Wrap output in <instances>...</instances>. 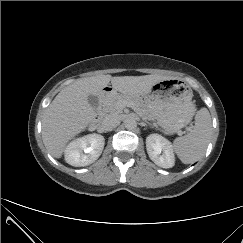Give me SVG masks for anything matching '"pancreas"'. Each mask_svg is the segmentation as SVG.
Here are the masks:
<instances>
[{"instance_id": "pancreas-1", "label": "pancreas", "mask_w": 243, "mask_h": 243, "mask_svg": "<svg viewBox=\"0 0 243 243\" xmlns=\"http://www.w3.org/2000/svg\"><path fill=\"white\" fill-rule=\"evenodd\" d=\"M121 104L132 107L135 112L145 119H153V116L148 112L145 104L140 98H131L124 95H115L107 101L103 107V111L107 114H120L123 108Z\"/></svg>"}]
</instances>
